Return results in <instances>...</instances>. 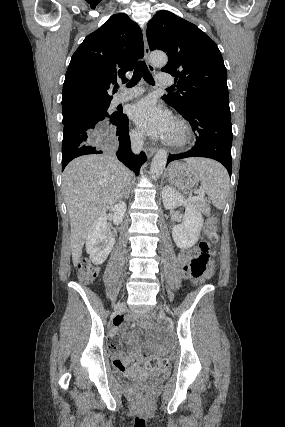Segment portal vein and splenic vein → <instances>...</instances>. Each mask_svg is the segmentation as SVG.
I'll return each mask as SVG.
<instances>
[{
    "instance_id": "portal-vein-and-splenic-vein-1",
    "label": "portal vein and splenic vein",
    "mask_w": 285,
    "mask_h": 427,
    "mask_svg": "<svg viewBox=\"0 0 285 427\" xmlns=\"http://www.w3.org/2000/svg\"><path fill=\"white\" fill-rule=\"evenodd\" d=\"M204 195H205V192H204L203 190H200V191L198 192V195L193 196L191 199H192L193 201H195V200H199V199L203 198V197H204Z\"/></svg>"
}]
</instances>
